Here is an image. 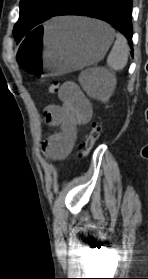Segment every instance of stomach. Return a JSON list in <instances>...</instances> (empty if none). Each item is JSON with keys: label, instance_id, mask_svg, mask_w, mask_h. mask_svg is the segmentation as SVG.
I'll return each instance as SVG.
<instances>
[{"label": "stomach", "instance_id": "obj_1", "mask_svg": "<svg viewBox=\"0 0 148 279\" xmlns=\"http://www.w3.org/2000/svg\"><path fill=\"white\" fill-rule=\"evenodd\" d=\"M17 50V68L26 82H43L100 61L114 39L107 24L87 18H60L36 24Z\"/></svg>", "mask_w": 148, "mask_h": 279}]
</instances>
